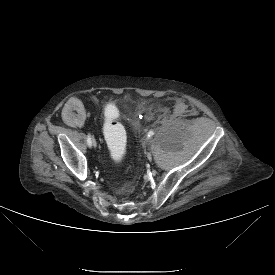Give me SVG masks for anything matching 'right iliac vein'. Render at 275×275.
I'll return each mask as SVG.
<instances>
[{
	"label": "right iliac vein",
	"mask_w": 275,
	"mask_h": 275,
	"mask_svg": "<svg viewBox=\"0 0 275 275\" xmlns=\"http://www.w3.org/2000/svg\"><path fill=\"white\" fill-rule=\"evenodd\" d=\"M91 141H92V145H93V146H96V145H97L96 140H95L94 138H92Z\"/></svg>",
	"instance_id": "63e3f726"
}]
</instances>
